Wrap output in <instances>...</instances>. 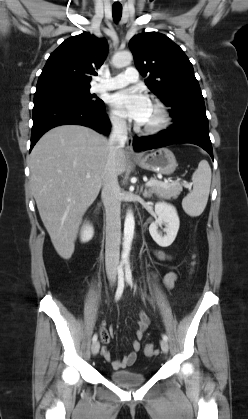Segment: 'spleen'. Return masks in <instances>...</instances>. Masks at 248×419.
I'll use <instances>...</instances> for the list:
<instances>
[{
  "label": "spleen",
  "instance_id": "obj_1",
  "mask_svg": "<svg viewBox=\"0 0 248 419\" xmlns=\"http://www.w3.org/2000/svg\"><path fill=\"white\" fill-rule=\"evenodd\" d=\"M193 190L183 199L182 207L191 217L199 216L205 209L211 185V168L201 160L192 175Z\"/></svg>",
  "mask_w": 248,
  "mask_h": 419
}]
</instances>
